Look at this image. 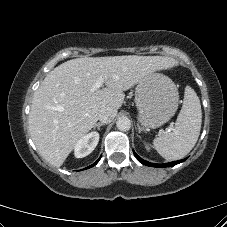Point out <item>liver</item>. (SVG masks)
Returning <instances> with one entry per match:
<instances>
[{"label":"liver","instance_id":"obj_1","mask_svg":"<svg viewBox=\"0 0 227 227\" xmlns=\"http://www.w3.org/2000/svg\"><path fill=\"white\" fill-rule=\"evenodd\" d=\"M173 65L168 57L128 55L76 58L54 68L35 91L28 120L40 155L60 167L94 127L101 109L117 111L124 91ZM100 79L106 87L94 90Z\"/></svg>","mask_w":227,"mask_h":227}]
</instances>
